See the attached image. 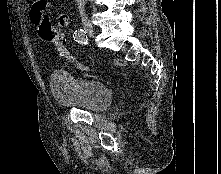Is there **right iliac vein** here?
<instances>
[{
  "instance_id": "63e3f726",
  "label": "right iliac vein",
  "mask_w": 221,
  "mask_h": 174,
  "mask_svg": "<svg viewBox=\"0 0 221 174\" xmlns=\"http://www.w3.org/2000/svg\"><path fill=\"white\" fill-rule=\"evenodd\" d=\"M82 25H83V28H84V31L87 33V35L89 37H94V29H93V26L92 24L90 23V21L86 18L82 19Z\"/></svg>"
}]
</instances>
